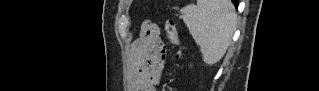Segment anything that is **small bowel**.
I'll list each match as a JSON object with an SVG mask.
<instances>
[{"label":"small bowel","mask_w":319,"mask_h":91,"mask_svg":"<svg viewBox=\"0 0 319 91\" xmlns=\"http://www.w3.org/2000/svg\"><path fill=\"white\" fill-rule=\"evenodd\" d=\"M133 74L130 85L134 91H154L161 81L167 61V48L158 27L145 22L140 39L131 46ZM150 57V63L147 58Z\"/></svg>","instance_id":"1"}]
</instances>
